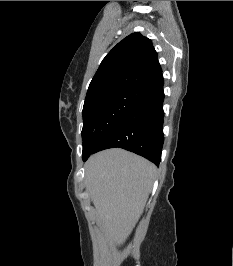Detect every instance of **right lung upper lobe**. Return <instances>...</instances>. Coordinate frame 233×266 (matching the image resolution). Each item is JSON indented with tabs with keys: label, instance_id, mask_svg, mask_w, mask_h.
Returning a JSON list of instances; mask_svg holds the SVG:
<instances>
[{
	"label": "right lung upper lobe",
	"instance_id": "1",
	"mask_svg": "<svg viewBox=\"0 0 233 266\" xmlns=\"http://www.w3.org/2000/svg\"><path fill=\"white\" fill-rule=\"evenodd\" d=\"M150 39L132 33L103 59L85 101L122 90L148 92L163 81L162 69Z\"/></svg>",
	"mask_w": 233,
	"mask_h": 266
}]
</instances>
